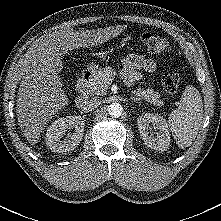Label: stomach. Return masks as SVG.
Returning <instances> with one entry per match:
<instances>
[{"label": "stomach", "mask_w": 221, "mask_h": 221, "mask_svg": "<svg viewBox=\"0 0 221 221\" xmlns=\"http://www.w3.org/2000/svg\"><path fill=\"white\" fill-rule=\"evenodd\" d=\"M88 69L94 73L97 69V66L95 64H91V65H89Z\"/></svg>", "instance_id": "stomach-1"}]
</instances>
